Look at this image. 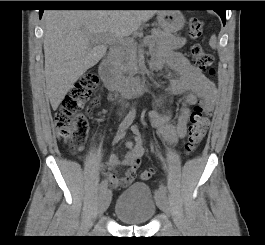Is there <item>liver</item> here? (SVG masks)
<instances>
[{
	"instance_id": "1",
	"label": "liver",
	"mask_w": 265,
	"mask_h": 245,
	"mask_svg": "<svg viewBox=\"0 0 265 245\" xmlns=\"http://www.w3.org/2000/svg\"><path fill=\"white\" fill-rule=\"evenodd\" d=\"M157 10H47L44 55L47 95L57 110L75 82L105 55L108 44L131 35ZM96 35L105 36L95 42Z\"/></svg>"
}]
</instances>
